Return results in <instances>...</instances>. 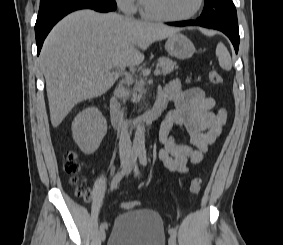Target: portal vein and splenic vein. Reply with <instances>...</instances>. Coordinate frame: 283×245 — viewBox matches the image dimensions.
Returning <instances> with one entry per match:
<instances>
[{
  "mask_svg": "<svg viewBox=\"0 0 283 245\" xmlns=\"http://www.w3.org/2000/svg\"><path fill=\"white\" fill-rule=\"evenodd\" d=\"M154 74L158 76V75L161 74V72H160V70L156 69V70L154 71Z\"/></svg>",
  "mask_w": 283,
  "mask_h": 245,
  "instance_id": "obj_1",
  "label": "portal vein and splenic vein"
}]
</instances>
